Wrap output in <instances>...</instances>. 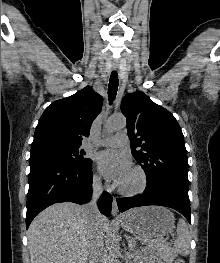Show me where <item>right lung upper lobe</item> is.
I'll list each match as a JSON object with an SVG mask.
<instances>
[{"mask_svg":"<svg viewBox=\"0 0 220 263\" xmlns=\"http://www.w3.org/2000/svg\"><path fill=\"white\" fill-rule=\"evenodd\" d=\"M102 102V97L89 86L53 102L45 109L35 129L30 154L80 147L82 138L89 136Z\"/></svg>","mask_w":220,"mask_h":263,"instance_id":"right-lung-upper-lobe-1","label":"right lung upper lobe"}]
</instances>
